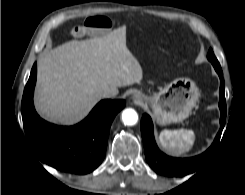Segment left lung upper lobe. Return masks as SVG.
<instances>
[{
    "mask_svg": "<svg viewBox=\"0 0 245 195\" xmlns=\"http://www.w3.org/2000/svg\"><path fill=\"white\" fill-rule=\"evenodd\" d=\"M207 58L213 64L214 67H220V64H219L218 60L216 59L212 49H209Z\"/></svg>",
    "mask_w": 245,
    "mask_h": 195,
    "instance_id": "obj_1",
    "label": "left lung upper lobe"
}]
</instances>
